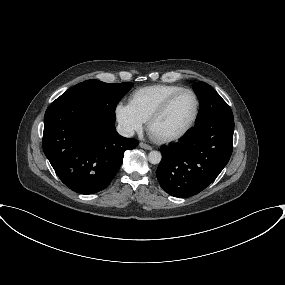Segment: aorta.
Instances as JSON below:
<instances>
[{
    "label": "aorta",
    "mask_w": 285,
    "mask_h": 285,
    "mask_svg": "<svg viewBox=\"0 0 285 285\" xmlns=\"http://www.w3.org/2000/svg\"><path fill=\"white\" fill-rule=\"evenodd\" d=\"M162 159V155L159 151H151L148 154V160L151 164H159Z\"/></svg>",
    "instance_id": "1"
}]
</instances>
